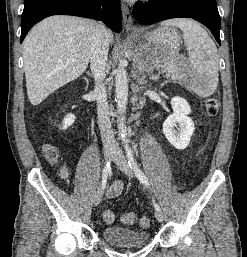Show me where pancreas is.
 <instances>
[{"label": "pancreas", "instance_id": "cf45deb5", "mask_svg": "<svg viewBox=\"0 0 247 257\" xmlns=\"http://www.w3.org/2000/svg\"><path fill=\"white\" fill-rule=\"evenodd\" d=\"M174 68L173 67H165L163 72H165L167 75L174 72Z\"/></svg>", "mask_w": 247, "mask_h": 257}]
</instances>
